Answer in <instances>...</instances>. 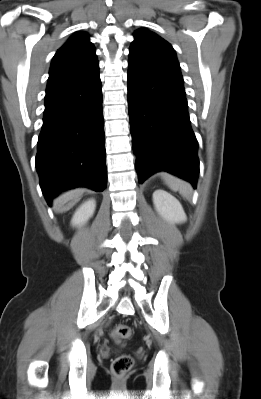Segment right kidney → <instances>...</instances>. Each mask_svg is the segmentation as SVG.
<instances>
[{"label":"right kidney","mask_w":261,"mask_h":399,"mask_svg":"<svg viewBox=\"0 0 261 399\" xmlns=\"http://www.w3.org/2000/svg\"><path fill=\"white\" fill-rule=\"evenodd\" d=\"M96 202L94 199H89L84 202L74 213L71 220L72 226H81L85 224L94 214Z\"/></svg>","instance_id":"ca27d5eb"}]
</instances>
